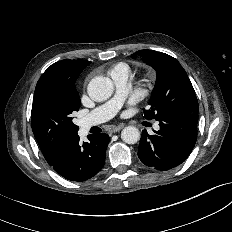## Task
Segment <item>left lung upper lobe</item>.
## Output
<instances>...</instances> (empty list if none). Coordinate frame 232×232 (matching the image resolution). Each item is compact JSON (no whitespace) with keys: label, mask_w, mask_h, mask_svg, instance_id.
Wrapping results in <instances>:
<instances>
[{"label":"left lung upper lobe","mask_w":232,"mask_h":232,"mask_svg":"<svg viewBox=\"0 0 232 232\" xmlns=\"http://www.w3.org/2000/svg\"><path fill=\"white\" fill-rule=\"evenodd\" d=\"M140 56L156 70V84L144 111L146 119L159 120L174 112L198 113V100L193 86L178 60L165 53L140 50L131 57Z\"/></svg>","instance_id":"obj_1"}]
</instances>
